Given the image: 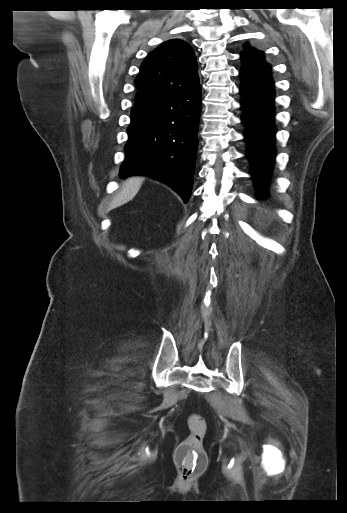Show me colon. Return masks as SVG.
Returning <instances> with one entry per match:
<instances>
[{
	"mask_svg": "<svg viewBox=\"0 0 347 513\" xmlns=\"http://www.w3.org/2000/svg\"><path fill=\"white\" fill-rule=\"evenodd\" d=\"M189 436L180 445L177 454V467L188 478H195L206 467V454L203 440L206 433V422L198 414L188 417Z\"/></svg>",
	"mask_w": 347,
	"mask_h": 513,
	"instance_id": "obj_1",
	"label": "colon"
}]
</instances>
